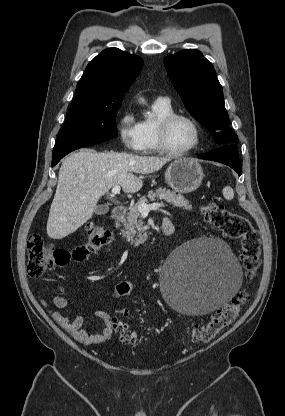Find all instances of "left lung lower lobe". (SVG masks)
Here are the masks:
<instances>
[{
    "instance_id": "1",
    "label": "left lung lower lobe",
    "mask_w": 285,
    "mask_h": 416,
    "mask_svg": "<svg viewBox=\"0 0 285 416\" xmlns=\"http://www.w3.org/2000/svg\"><path fill=\"white\" fill-rule=\"evenodd\" d=\"M198 158L223 163L233 168L239 176L242 174L238 150L235 145L215 149L211 152L198 156Z\"/></svg>"
}]
</instances>
